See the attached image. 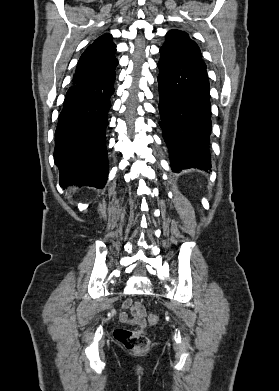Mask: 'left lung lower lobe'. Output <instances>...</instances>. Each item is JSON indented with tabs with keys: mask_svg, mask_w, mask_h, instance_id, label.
<instances>
[{
	"mask_svg": "<svg viewBox=\"0 0 279 391\" xmlns=\"http://www.w3.org/2000/svg\"><path fill=\"white\" fill-rule=\"evenodd\" d=\"M158 81L164 96L160 126L171 168H211L208 147L211 133L210 88L207 71L172 51L160 49Z\"/></svg>",
	"mask_w": 279,
	"mask_h": 391,
	"instance_id": "0a47b994",
	"label": "left lung lower lobe"
}]
</instances>
